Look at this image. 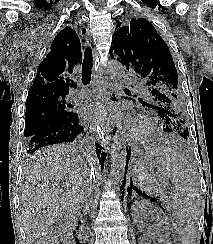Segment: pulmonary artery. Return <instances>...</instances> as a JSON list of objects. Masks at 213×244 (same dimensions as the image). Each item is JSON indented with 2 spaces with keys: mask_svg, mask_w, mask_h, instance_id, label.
Instances as JSON below:
<instances>
[{
  "mask_svg": "<svg viewBox=\"0 0 213 244\" xmlns=\"http://www.w3.org/2000/svg\"><path fill=\"white\" fill-rule=\"evenodd\" d=\"M124 81H125V82H129V81H131V77L128 76V75L125 76V77H124ZM87 93H88V91H87L85 88H81V89H79V90H75L74 93H73V98H74L75 100L81 99V98H83L84 96H86Z\"/></svg>",
  "mask_w": 213,
  "mask_h": 244,
  "instance_id": "1",
  "label": "pulmonary artery"
}]
</instances>
